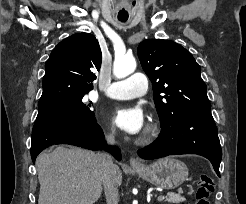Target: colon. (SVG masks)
<instances>
[{"mask_svg":"<svg viewBox=\"0 0 246 204\" xmlns=\"http://www.w3.org/2000/svg\"><path fill=\"white\" fill-rule=\"evenodd\" d=\"M215 191L213 179L206 174L199 177L196 189L197 204H210V196Z\"/></svg>","mask_w":246,"mask_h":204,"instance_id":"5ec220e1","label":"colon"}]
</instances>
